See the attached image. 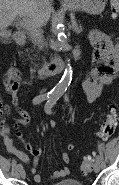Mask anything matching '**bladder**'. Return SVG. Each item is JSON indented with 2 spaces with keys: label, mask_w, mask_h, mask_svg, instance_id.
<instances>
[{
  "label": "bladder",
  "mask_w": 119,
  "mask_h": 185,
  "mask_svg": "<svg viewBox=\"0 0 119 185\" xmlns=\"http://www.w3.org/2000/svg\"><path fill=\"white\" fill-rule=\"evenodd\" d=\"M53 185H83V183L78 180H75V179H65V180H61Z\"/></svg>",
  "instance_id": "bladder-1"
}]
</instances>
